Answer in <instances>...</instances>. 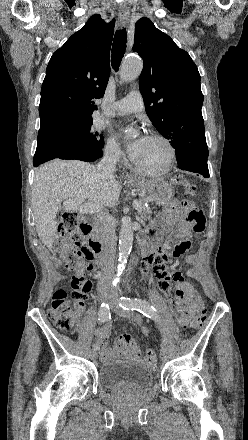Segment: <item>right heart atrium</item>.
Returning <instances> with one entry per match:
<instances>
[{"label": "right heart atrium", "instance_id": "d8ad5b80", "mask_svg": "<svg viewBox=\"0 0 248 440\" xmlns=\"http://www.w3.org/2000/svg\"><path fill=\"white\" fill-rule=\"evenodd\" d=\"M104 153L107 159L114 163L121 162L124 157L121 147L113 137H108L106 139Z\"/></svg>", "mask_w": 248, "mask_h": 440}]
</instances>
